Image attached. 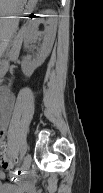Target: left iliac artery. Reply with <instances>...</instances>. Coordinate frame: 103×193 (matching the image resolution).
<instances>
[{
    "instance_id": "obj_1",
    "label": "left iliac artery",
    "mask_w": 103,
    "mask_h": 193,
    "mask_svg": "<svg viewBox=\"0 0 103 193\" xmlns=\"http://www.w3.org/2000/svg\"><path fill=\"white\" fill-rule=\"evenodd\" d=\"M26 151H27V145L23 144L22 147H21V151H20V158L21 159H23V157L25 156Z\"/></svg>"
}]
</instances>
